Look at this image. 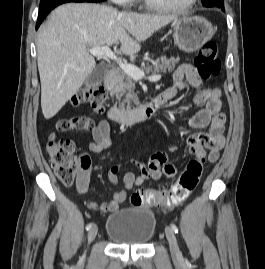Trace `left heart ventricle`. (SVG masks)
Segmentation results:
<instances>
[{
  "label": "left heart ventricle",
  "instance_id": "b2bd125f",
  "mask_svg": "<svg viewBox=\"0 0 265 269\" xmlns=\"http://www.w3.org/2000/svg\"><path fill=\"white\" fill-rule=\"evenodd\" d=\"M162 4L180 6L186 4L189 0H156Z\"/></svg>",
  "mask_w": 265,
  "mask_h": 269
}]
</instances>
